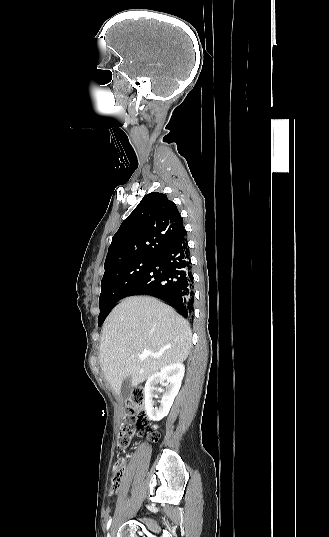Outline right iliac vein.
<instances>
[{"instance_id": "right-iliac-vein-1", "label": "right iliac vein", "mask_w": 329, "mask_h": 537, "mask_svg": "<svg viewBox=\"0 0 329 537\" xmlns=\"http://www.w3.org/2000/svg\"><path fill=\"white\" fill-rule=\"evenodd\" d=\"M108 537H111V533L108 534Z\"/></svg>"}]
</instances>
